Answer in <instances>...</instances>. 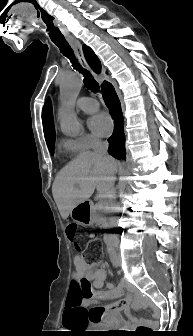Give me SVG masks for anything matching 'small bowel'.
I'll list each match as a JSON object with an SVG mask.
<instances>
[{
  "label": "small bowel",
  "mask_w": 193,
  "mask_h": 336,
  "mask_svg": "<svg viewBox=\"0 0 193 336\" xmlns=\"http://www.w3.org/2000/svg\"><path fill=\"white\" fill-rule=\"evenodd\" d=\"M74 266L75 271L67 294V308L63 325L66 327L76 323H82L85 326L89 324L119 325L118 312L127 308L134 299H139V297L128 294L126 297L118 299L127 289L126 281H121L117 286L106 284V271L96 263H88L83 257L76 255ZM88 285L98 290L95 295L96 299L117 300L104 308L96 306L88 308L91 300L83 296Z\"/></svg>",
  "instance_id": "1"
}]
</instances>
